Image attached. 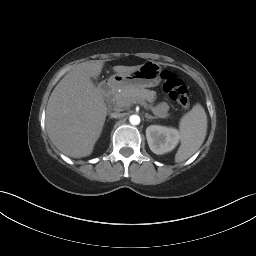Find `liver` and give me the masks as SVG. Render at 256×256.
<instances>
[{"instance_id": "6515ba94", "label": "liver", "mask_w": 256, "mask_h": 256, "mask_svg": "<svg viewBox=\"0 0 256 256\" xmlns=\"http://www.w3.org/2000/svg\"><path fill=\"white\" fill-rule=\"evenodd\" d=\"M103 66L102 61L80 64L61 79L50 95L47 133L55 147L67 156H89L101 135L107 107L91 78H97ZM140 66H114L113 70L128 74Z\"/></svg>"}]
</instances>
